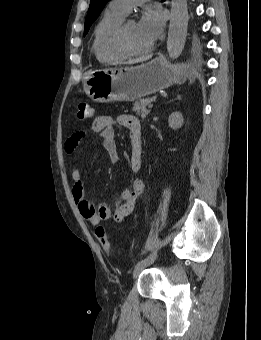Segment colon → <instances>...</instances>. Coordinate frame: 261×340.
<instances>
[{
  "mask_svg": "<svg viewBox=\"0 0 261 340\" xmlns=\"http://www.w3.org/2000/svg\"><path fill=\"white\" fill-rule=\"evenodd\" d=\"M95 115V109L93 106L87 103H80L77 107L76 116L80 120L92 118ZM99 244L105 251L112 250L111 241L103 226H98L95 230Z\"/></svg>",
  "mask_w": 261,
  "mask_h": 340,
  "instance_id": "5ec220e1",
  "label": "colon"
}]
</instances>
